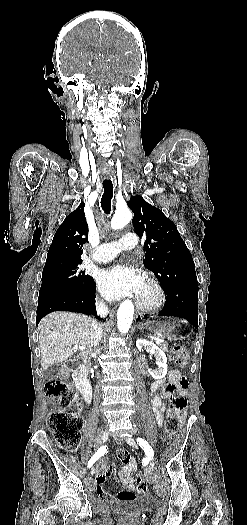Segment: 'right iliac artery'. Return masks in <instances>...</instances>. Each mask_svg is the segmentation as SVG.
I'll return each mask as SVG.
<instances>
[{
  "label": "right iliac artery",
  "mask_w": 247,
  "mask_h": 525,
  "mask_svg": "<svg viewBox=\"0 0 247 525\" xmlns=\"http://www.w3.org/2000/svg\"><path fill=\"white\" fill-rule=\"evenodd\" d=\"M107 450L108 448L106 446L100 447L98 451L89 460L88 467L90 468L94 464L95 461H97L101 456L107 453Z\"/></svg>",
  "instance_id": "right-iliac-artery-1"
}]
</instances>
